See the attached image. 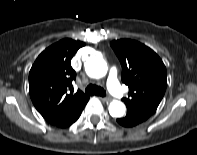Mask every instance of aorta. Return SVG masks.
Segmentation results:
<instances>
[{
	"label": "aorta",
	"instance_id": "aorta-1",
	"mask_svg": "<svg viewBox=\"0 0 197 155\" xmlns=\"http://www.w3.org/2000/svg\"><path fill=\"white\" fill-rule=\"evenodd\" d=\"M84 66L87 75L92 78H101L107 73V63L101 57H89ZM108 110L112 117H122L126 107L121 101L114 100L109 104Z\"/></svg>",
	"mask_w": 197,
	"mask_h": 155
}]
</instances>
